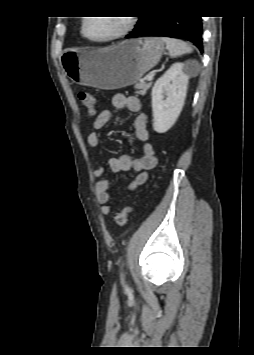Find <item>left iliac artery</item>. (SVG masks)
I'll return each mask as SVG.
<instances>
[{
  "label": "left iliac artery",
  "instance_id": "obj_1",
  "mask_svg": "<svg viewBox=\"0 0 254 355\" xmlns=\"http://www.w3.org/2000/svg\"><path fill=\"white\" fill-rule=\"evenodd\" d=\"M121 281H122V283H124L123 274H121Z\"/></svg>",
  "mask_w": 254,
  "mask_h": 355
}]
</instances>
